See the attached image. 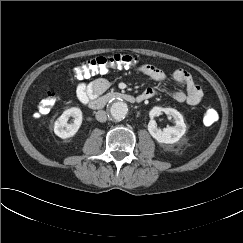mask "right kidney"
I'll return each mask as SVG.
<instances>
[{
    "label": "right kidney",
    "mask_w": 243,
    "mask_h": 243,
    "mask_svg": "<svg viewBox=\"0 0 243 243\" xmlns=\"http://www.w3.org/2000/svg\"><path fill=\"white\" fill-rule=\"evenodd\" d=\"M73 117V123L69 124L68 120ZM82 124V111L77 107L65 110L54 123V133L62 138H70L76 134Z\"/></svg>",
    "instance_id": "right-kidney-1"
}]
</instances>
